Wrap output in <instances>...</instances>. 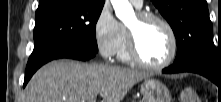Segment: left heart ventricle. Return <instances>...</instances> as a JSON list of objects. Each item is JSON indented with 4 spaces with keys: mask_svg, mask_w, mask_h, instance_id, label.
Listing matches in <instances>:
<instances>
[{
    "mask_svg": "<svg viewBox=\"0 0 221 102\" xmlns=\"http://www.w3.org/2000/svg\"><path fill=\"white\" fill-rule=\"evenodd\" d=\"M128 27L134 30L140 54L147 62L158 64L167 59L171 40L163 25L156 21L140 23L135 16Z\"/></svg>",
    "mask_w": 221,
    "mask_h": 102,
    "instance_id": "left-heart-ventricle-1",
    "label": "left heart ventricle"
}]
</instances>
